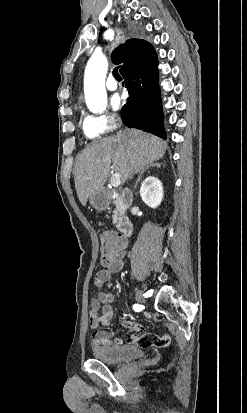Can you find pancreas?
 Returning a JSON list of instances; mask_svg holds the SVG:
<instances>
[{"label":"pancreas","instance_id":"obj_1","mask_svg":"<svg viewBox=\"0 0 247 413\" xmlns=\"http://www.w3.org/2000/svg\"><path fill=\"white\" fill-rule=\"evenodd\" d=\"M110 196L112 198V202H114V204H117L118 192H113V190H111ZM113 213H114V215H113L112 223H114V225H116V223H118V221H119V211H117V209H115V211H113Z\"/></svg>","mask_w":247,"mask_h":413}]
</instances>
